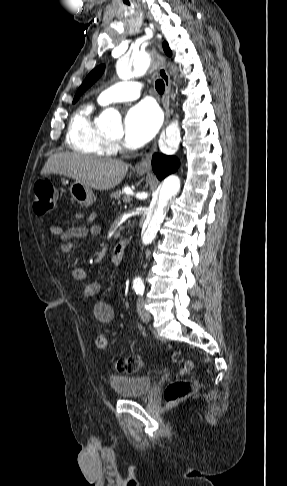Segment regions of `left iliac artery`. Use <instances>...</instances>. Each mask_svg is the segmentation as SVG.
I'll return each mask as SVG.
<instances>
[{
    "instance_id": "obj_1",
    "label": "left iliac artery",
    "mask_w": 287,
    "mask_h": 486,
    "mask_svg": "<svg viewBox=\"0 0 287 486\" xmlns=\"http://www.w3.org/2000/svg\"><path fill=\"white\" fill-rule=\"evenodd\" d=\"M134 290H135L136 294L143 295V293H144V286L143 285L135 286L134 287Z\"/></svg>"
}]
</instances>
